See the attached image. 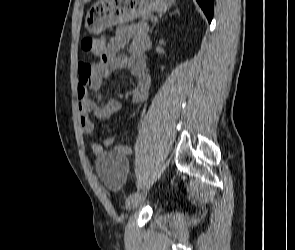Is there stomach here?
<instances>
[{
	"label": "stomach",
	"mask_w": 295,
	"mask_h": 250,
	"mask_svg": "<svg viewBox=\"0 0 295 250\" xmlns=\"http://www.w3.org/2000/svg\"><path fill=\"white\" fill-rule=\"evenodd\" d=\"M175 0H99L86 14L85 28L98 34L144 14L167 11Z\"/></svg>",
	"instance_id": "0dacf381"
}]
</instances>
